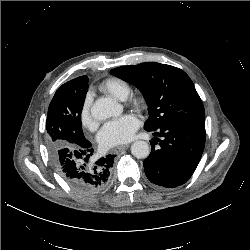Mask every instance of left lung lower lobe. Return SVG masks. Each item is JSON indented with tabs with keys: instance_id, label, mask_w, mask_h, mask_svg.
<instances>
[{
	"instance_id": "1",
	"label": "left lung lower lobe",
	"mask_w": 250,
	"mask_h": 250,
	"mask_svg": "<svg viewBox=\"0 0 250 250\" xmlns=\"http://www.w3.org/2000/svg\"><path fill=\"white\" fill-rule=\"evenodd\" d=\"M148 131V130H147ZM152 151L144 160V170L152 183L174 188L187 182L195 171L205 145V121L183 122L153 130Z\"/></svg>"
}]
</instances>
